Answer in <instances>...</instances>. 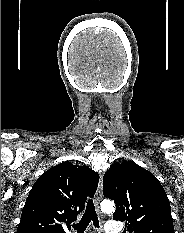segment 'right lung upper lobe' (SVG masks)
Returning <instances> with one entry per match:
<instances>
[{
    "instance_id": "1",
    "label": "right lung upper lobe",
    "mask_w": 184,
    "mask_h": 233,
    "mask_svg": "<svg viewBox=\"0 0 184 233\" xmlns=\"http://www.w3.org/2000/svg\"><path fill=\"white\" fill-rule=\"evenodd\" d=\"M98 182V173L85 165L66 161L50 168L34 183L16 233H65Z\"/></svg>"
}]
</instances>
